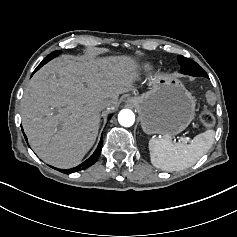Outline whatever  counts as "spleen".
Here are the masks:
<instances>
[{
  "instance_id": "1",
  "label": "spleen",
  "mask_w": 237,
  "mask_h": 237,
  "mask_svg": "<svg viewBox=\"0 0 237 237\" xmlns=\"http://www.w3.org/2000/svg\"><path fill=\"white\" fill-rule=\"evenodd\" d=\"M215 130L208 129L194 137L190 144L173 143L167 138H152L148 141L151 164L161 170L181 171L193 166L211 148Z\"/></svg>"
}]
</instances>
